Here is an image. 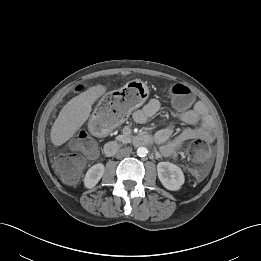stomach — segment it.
I'll use <instances>...</instances> for the list:
<instances>
[{
    "label": "stomach",
    "instance_id": "1",
    "mask_svg": "<svg viewBox=\"0 0 261 261\" xmlns=\"http://www.w3.org/2000/svg\"><path fill=\"white\" fill-rule=\"evenodd\" d=\"M119 98L124 99L127 106V115L140 107L148 98L149 90L147 85L140 80H132L125 84L119 91ZM120 122L105 124L99 116L94 113L89 120V130L95 136H104L114 129Z\"/></svg>",
    "mask_w": 261,
    "mask_h": 261
}]
</instances>
